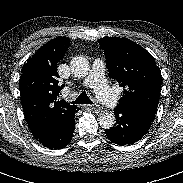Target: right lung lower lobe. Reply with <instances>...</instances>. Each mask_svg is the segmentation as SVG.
<instances>
[{"label":"right lung lower lobe","instance_id":"right-lung-lower-lobe-1","mask_svg":"<svg viewBox=\"0 0 183 183\" xmlns=\"http://www.w3.org/2000/svg\"><path fill=\"white\" fill-rule=\"evenodd\" d=\"M35 139L43 146L50 149H61L67 146L73 136L74 120L69 125L50 126L41 123L31 130Z\"/></svg>","mask_w":183,"mask_h":183}]
</instances>
